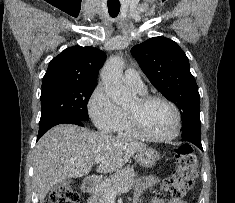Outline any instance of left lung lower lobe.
Masks as SVG:
<instances>
[{
    "mask_svg": "<svg viewBox=\"0 0 235 203\" xmlns=\"http://www.w3.org/2000/svg\"><path fill=\"white\" fill-rule=\"evenodd\" d=\"M182 141L191 142L203 151L202 144H201V136L182 135Z\"/></svg>",
    "mask_w": 235,
    "mask_h": 203,
    "instance_id": "left-lung-lower-lobe-1",
    "label": "left lung lower lobe"
}]
</instances>
